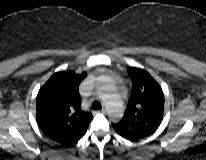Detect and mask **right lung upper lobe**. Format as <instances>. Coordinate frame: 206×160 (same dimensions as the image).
<instances>
[{
	"label": "right lung upper lobe",
	"mask_w": 206,
	"mask_h": 160,
	"mask_svg": "<svg viewBox=\"0 0 206 160\" xmlns=\"http://www.w3.org/2000/svg\"><path fill=\"white\" fill-rule=\"evenodd\" d=\"M81 79L72 71L57 72L37 95V122L49 138L63 145L84 136L93 116L81 109Z\"/></svg>",
	"instance_id": "cb5924a9"
}]
</instances>
